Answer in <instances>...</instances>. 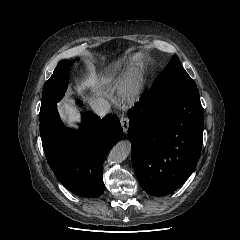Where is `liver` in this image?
I'll use <instances>...</instances> for the list:
<instances>
[{
    "instance_id": "1",
    "label": "liver",
    "mask_w": 240,
    "mask_h": 240,
    "mask_svg": "<svg viewBox=\"0 0 240 240\" xmlns=\"http://www.w3.org/2000/svg\"><path fill=\"white\" fill-rule=\"evenodd\" d=\"M58 110L70 124L78 121L77 110L71 102L63 101L61 104L58 105Z\"/></svg>"
}]
</instances>
